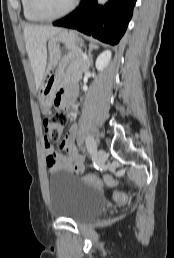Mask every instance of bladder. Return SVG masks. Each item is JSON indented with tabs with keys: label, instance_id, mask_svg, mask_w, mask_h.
Listing matches in <instances>:
<instances>
[{
	"label": "bladder",
	"instance_id": "bladder-1",
	"mask_svg": "<svg viewBox=\"0 0 174 258\" xmlns=\"http://www.w3.org/2000/svg\"><path fill=\"white\" fill-rule=\"evenodd\" d=\"M48 205L53 216L82 223L102 213L107 201L97 188L57 171L49 177Z\"/></svg>",
	"mask_w": 174,
	"mask_h": 258
}]
</instances>
